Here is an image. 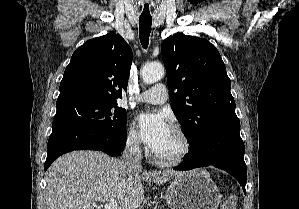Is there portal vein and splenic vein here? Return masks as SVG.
<instances>
[{"mask_svg": "<svg viewBox=\"0 0 299 209\" xmlns=\"http://www.w3.org/2000/svg\"><path fill=\"white\" fill-rule=\"evenodd\" d=\"M104 209H121L115 199H110L109 202L104 204Z\"/></svg>", "mask_w": 299, "mask_h": 209, "instance_id": "1", "label": "portal vein and splenic vein"}]
</instances>
